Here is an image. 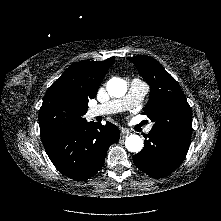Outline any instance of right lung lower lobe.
Returning <instances> with one entry per match:
<instances>
[{
	"instance_id": "1",
	"label": "right lung lower lobe",
	"mask_w": 221,
	"mask_h": 221,
	"mask_svg": "<svg viewBox=\"0 0 221 221\" xmlns=\"http://www.w3.org/2000/svg\"><path fill=\"white\" fill-rule=\"evenodd\" d=\"M119 138L120 131L114 124L86 121L63 140L45 149L58 171L83 181L103 167L108 148Z\"/></svg>"
}]
</instances>
